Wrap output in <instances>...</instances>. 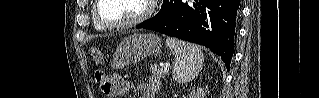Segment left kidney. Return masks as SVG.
<instances>
[{"mask_svg":"<svg viewBox=\"0 0 319 98\" xmlns=\"http://www.w3.org/2000/svg\"><path fill=\"white\" fill-rule=\"evenodd\" d=\"M188 98H205V91L202 88H198L197 90H193L188 95Z\"/></svg>","mask_w":319,"mask_h":98,"instance_id":"left-kidney-1","label":"left kidney"}]
</instances>
